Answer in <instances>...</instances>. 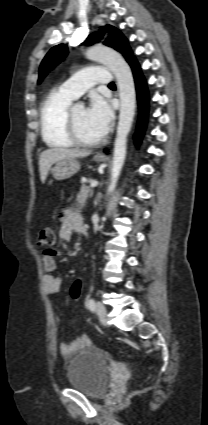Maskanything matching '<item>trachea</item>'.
<instances>
[{"mask_svg":"<svg viewBox=\"0 0 208 425\" xmlns=\"http://www.w3.org/2000/svg\"><path fill=\"white\" fill-rule=\"evenodd\" d=\"M115 86V84L113 83V82H111L110 84H109V87H114Z\"/></svg>","mask_w":208,"mask_h":425,"instance_id":"1","label":"trachea"}]
</instances>
